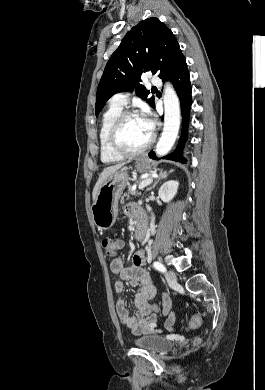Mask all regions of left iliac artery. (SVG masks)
<instances>
[{
  "instance_id": "obj_1",
  "label": "left iliac artery",
  "mask_w": 265,
  "mask_h": 390,
  "mask_svg": "<svg viewBox=\"0 0 265 390\" xmlns=\"http://www.w3.org/2000/svg\"><path fill=\"white\" fill-rule=\"evenodd\" d=\"M153 266H154L157 270H159L160 272H166V268L164 267V265H163L162 263L158 262V261H155V262L153 263Z\"/></svg>"
}]
</instances>
